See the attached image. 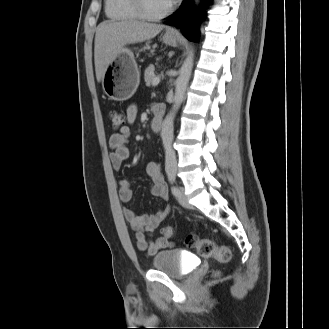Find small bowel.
Listing matches in <instances>:
<instances>
[{
  "mask_svg": "<svg viewBox=\"0 0 329 329\" xmlns=\"http://www.w3.org/2000/svg\"><path fill=\"white\" fill-rule=\"evenodd\" d=\"M126 115L128 123L132 124L137 116V107L135 105L129 106ZM130 134V127L125 126L109 138V146L112 150L110 161L115 170H119L129 156L128 142ZM143 174L152 182L151 193L163 200H168L169 195L160 164L158 162L148 163L143 170ZM132 194L130 181L120 179L118 182L120 200L127 203L132 199ZM168 212L169 208H165L154 215L139 216L130 208L123 209L125 219L135 231L137 248L148 256L155 255L159 251L172 246V243L165 238L151 239L155 229L164 220Z\"/></svg>",
  "mask_w": 329,
  "mask_h": 329,
  "instance_id": "c3829d8e",
  "label": "small bowel"
}]
</instances>
